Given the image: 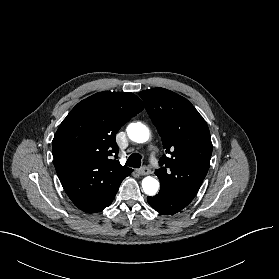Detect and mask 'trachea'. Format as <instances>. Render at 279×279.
<instances>
[{
	"label": "trachea",
	"instance_id": "3493384b",
	"mask_svg": "<svg viewBox=\"0 0 279 279\" xmlns=\"http://www.w3.org/2000/svg\"><path fill=\"white\" fill-rule=\"evenodd\" d=\"M126 165L133 168H139L141 166V156L138 153L131 154L126 161Z\"/></svg>",
	"mask_w": 279,
	"mask_h": 279
}]
</instances>
